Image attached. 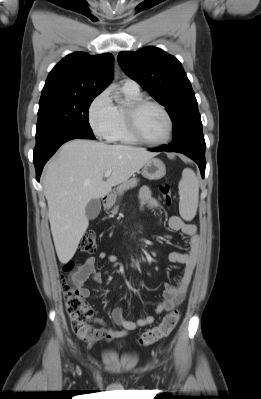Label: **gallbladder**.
Segmentation results:
<instances>
[{"mask_svg": "<svg viewBox=\"0 0 261 399\" xmlns=\"http://www.w3.org/2000/svg\"><path fill=\"white\" fill-rule=\"evenodd\" d=\"M101 210V202L99 199H91L85 208L86 216L89 220L95 219Z\"/></svg>", "mask_w": 261, "mask_h": 399, "instance_id": "bac80fb5", "label": "gallbladder"}]
</instances>
